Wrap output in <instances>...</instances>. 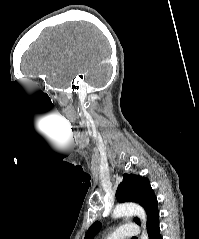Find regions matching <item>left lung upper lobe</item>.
Segmentation results:
<instances>
[{
    "mask_svg": "<svg viewBox=\"0 0 199 239\" xmlns=\"http://www.w3.org/2000/svg\"><path fill=\"white\" fill-rule=\"evenodd\" d=\"M118 202H135L144 207L147 214V223L158 211V202L151 188L149 179L134 174H124L123 182L116 191ZM140 224L138 218H134ZM101 228V223L96 221L88 229L84 239H93Z\"/></svg>",
    "mask_w": 199,
    "mask_h": 239,
    "instance_id": "obj_1",
    "label": "left lung upper lobe"
}]
</instances>
